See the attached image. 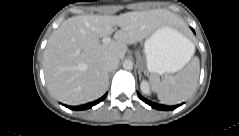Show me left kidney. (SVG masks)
Here are the masks:
<instances>
[{
	"label": "left kidney",
	"mask_w": 239,
	"mask_h": 136,
	"mask_svg": "<svg viewBox=\"0 0 239 136\" xmlns=\"http://www.w3.org/2000/svg\"><path fill=\"white\" fill-rule=\"evenodd\" d=\"M141 91L146 95H151V90L149 83L146 80H143L140 84Z\"/></svg>",
	"instance_id": "obj_1"
}]
</instances>
